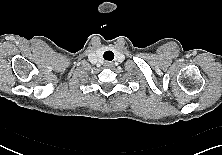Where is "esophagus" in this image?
<instances>
[{
    "instance_id": "1",
    "label": "esophagus",
    "mask_w": 222,
    "mask_h": 155,
    "mask_svg": "<svg viewBox=\"0 0 222 155\" xmlns=\"http://www.w3.org/2000/svg\"><path fill=\"white\" fill-rule=\"evenodd\" d=\"M104 66H105L106 68H112V67H113V63L110 62V61H107V62H105Z\"/></svg>"
}]
</instances>
